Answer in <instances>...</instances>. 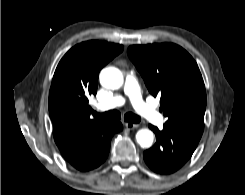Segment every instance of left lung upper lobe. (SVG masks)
<instances>
[{"instance_id":"1","label":"left lung upper lobe","mask_w":245,"mask_h":195,"mask_svg":"<svg viewBox=\"0 0 245 195\" xmlns=\"http://www.w3.org/2000/svg\"><path fill=\"white\" fill-rule=\"evenodd\" d=\"M127 53L149 92L160 97V110L168 118L165 124L201 136L206 91L191 55L173 43L133 45Z\"/></svg>"}]
</instances>
